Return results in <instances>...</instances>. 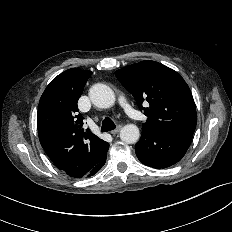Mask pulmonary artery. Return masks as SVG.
Returning a JSON list of instances; mask_svg holds the SVG:
<instances>
[{
	"label": "pulmonary artery",
	"instance_id": "1",
	"mask_svg": "<svg viewBox=\"0 0 232 232\" xmlns=\"http://www.w3.org/2000/svg\"><path fill=\"white\" fill-rule=\"evenodd\" d=\"M119 104L129 117L133 119L140 118V114L132 108V106L128 103V101L126 100L124 96L119 97Z\"/></svg>",
	"mask_w": 232,
	"mask_h": 232
}]
</instances>
